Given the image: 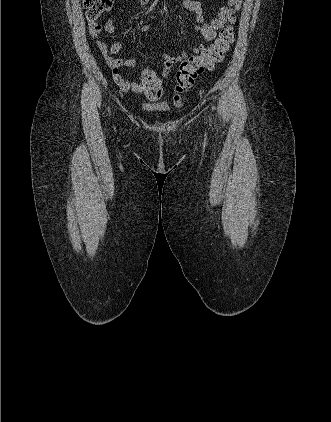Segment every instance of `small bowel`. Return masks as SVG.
<instances>
[{
	"label": "small bowel",
	"mask_w": 331,
	"mask_h": 422,
	"mask_svg": "<svg viewBox=\"0 0 331 422\" xmlns=\"http://www.w3.org/2000/svg\"><path fill=\"white\" fill-rule=\"evenodd\" d=\"M137 2L142 6H146L151 3V0H137ZM241 4L242 0H227V2L219 8L216 18L210 20L208 23H205L200 2L197 0H182L183 7L193 14L196 22L195 29L204 42H209L216 37L217 31L221 29L226 22L231 19L236 11L240 9ZM89 30L91 37L98 38L102 30L109 34L114 33L115 26L113 21L110 19L104 23L103 27L97 22H89ZM149 30L150 26L148 25H143L140 28V32H148ZM96 45L102 54L115 83L120 87V89L124 92H143V86L140 81L131 82L121 73L122 67H128L131 69L135 68L134 60L131 58L114 57V55L122 48V42L118 41L109 46L103 40L98 39L96 41ZM204 51V45L199 44L191 51V53H182L180 55H170L165 53L163 55L162 76L166 77L175 65L180 64L182 61L190 57H197Z\"/></svg>",
	"instance_id": "obj_1"
}]
</instances>
